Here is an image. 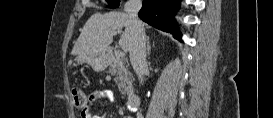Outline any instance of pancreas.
<instances>
[{
    "label": "pancreas",
    "mask_w": 273,
    "mask_h": 118,
    "mask_svg": "<svg viewBox=\"0 0 273 118\" xmlns=\"http://www.w3.org/2000/svg\"><path fill=\"white\" fill-rule=\"evenodd\" d=\"M109 72L115 76L114 81L122 94H129L133 91L132 75L125 66L124 61L119 56L114 57Z\"/></svg>",
    "instance_id": "obj_1"
}]
</instances>
